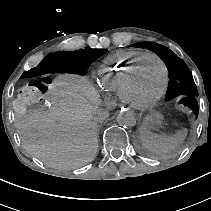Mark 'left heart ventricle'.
<instances>
[{
  "instance_id": "left-heart-ventricle-1",
  "label": "left heart ventricle",
  "mask_w": 211,
  "mask_h": 211,
  "mask_svg": "<svg viewBox=\"0 0 211 211\" xmlns=\"http://www.w3.org/2000/svg\"><path fill=\"white\" fill-rule=\"evenodd\" d=\"M163 83V73L159 63L153 59L145 60L138 68L133 80V96L139 101L155 97Z\"/></svg>"
}]
</instances>
